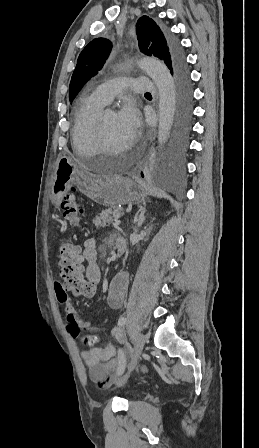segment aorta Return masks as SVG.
Listing matches in <instances>:
<instances>
[{"label": "aorta", "instance_id": "762f6f07", "mask_svg": "<svg viewBox=\"0 0 259 448\" xmlns=\"http://www.w3.org/2000/svg\"><path fill=\"white\" fill-rule=\"evenodd\" d=\"M139 66L153 79L159 92L158 142L163 145L173 125L176 110V86L170 71L158 59L146 57Z\"/></svg>", "mask_w": 259, "mask_h": 448}]
</instances>
